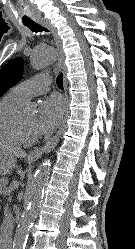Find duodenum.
<instances>
[{"mask_svg":"<svg viewBox=\"0 0 135 249\" xmlns=\"http://www.w3.org/2000/svg\"><path fill=\"white\" fill-rule=\"evenodd\" d=\"M0 248L1 249H12V241L8 237H1L0 239Z\"/></svg>","mask_w":135,"mask_h":249,"instance_id":"obj_1","label":"duodenum"}]
</instances>
